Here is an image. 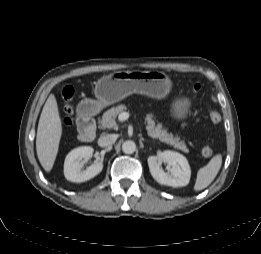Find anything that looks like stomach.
<instances>
[{"mask_svg": "<svg viewBox=\"0 0 261 254\" xmlns=\"http://www.w3.org/2000/svg\"><path fill=\"white\" fill-rule=\"evenodd\" d=\"M171 86V80L164 72L116 71L98 80L94 89L97 101L90 100L86 106L88 111L94 112L133 93L161 99L169 94ZM189 106L187 99L178 100L172 107V116L176 119L186 118Z\"/></svg>", "mask_w": 261, "mask_h": 254, "instance_id": "1", "label": "stomach"}]
</instances>
